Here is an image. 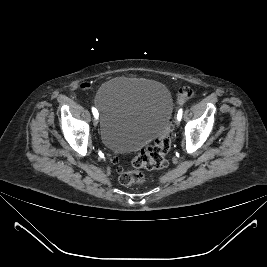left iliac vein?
<instances>
[{
    "mask_svg": "<svg viewBox=\"0 0 267 267\" xmlns=\"http://www.w3.org/2000/svg\"><path fill=\"white\" fill-rule=\"evenodd\" d=\"M176 125L179 126L180 125V120L176 119Z\"/></svg>",
    "mask_w": 267,
    "mask_h": 267,
    "instance_id": "4c4485c4",
    "label": "left iliac vein"
}]
</instances>
